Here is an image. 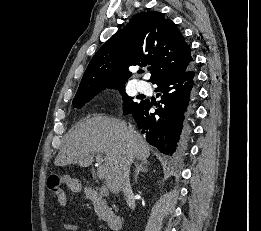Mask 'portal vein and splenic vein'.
<instances>
[{
    "mask_svg": "<svg viewBox=\"0 0 261 231\" xmlns=\"http://www.w3.org/2000/svg\"><path fill=\"white\" fill-rule=\"evenodd\" d=\"M95 158L98 163L97 176L100 180H103L105 178V165L103 157L101 154H97Z\"/></svg>",
    "mask_w": 261,
    "mask_h": 231,
    "instance_id": "1",
    "label": "portal vein and splenic vein"
}]
</instances>
